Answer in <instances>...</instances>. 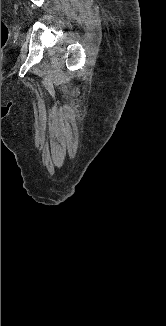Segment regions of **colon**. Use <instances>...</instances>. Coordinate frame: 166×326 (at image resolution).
<instances>
[{"label":"colon","mask_w":166,"mask_h":326,"mask_svg":"<svg viewBox=\"0 0 166 326\" xmlns=\"http://www.w3.org/2000/svg\"><path fill=\"white\" fill-rule=\"evenodd\" d=\"M9 37L8 27L4 21L1 20V61L3 59V48L5 47Z\"/></svg>","instance_id":"1"}]
</instances>
